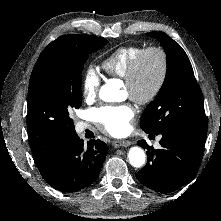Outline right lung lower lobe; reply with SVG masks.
Returning a JSON list of instances; mask_svg holds the SVG:
<instances>
[{"label": "right lung lower lobe", "mask_w": 221, "mask_h": 221, "mask_svg": "<svg viewBox=\"0 0 221 221\" xmlns=\"http://www.w3.org/2000/svg\"><path fill=\"white\" fill-rule=\"evenodd\" d=\"M107 155V145L90 140L87 146L77 134L60 142L38 169L44 180L63 192L79 191L98 177Z\"/></svg>", "instance_id": "98d812e1"}]
</instances>
